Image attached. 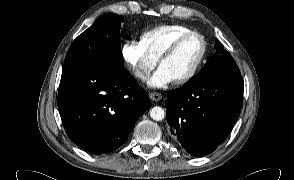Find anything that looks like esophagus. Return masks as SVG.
Wrapping results in <instances>:
<instances>
[{
    "label": "esophagus",
    "mask_w": 294,
    "mask_h": 180,
    "mask_svg": "<svg viewBox=\"0 0 294 180\" xmlns=\"http://www.w3.org/2000/svg\"><path fill=\"white\" fill-rule=\"evenodd\" d=\"M149 97L153 101H160L162 99V95L159 92H151Z\"/></svg>",
    "instance_id": "obj_1"
}]
</instances>
